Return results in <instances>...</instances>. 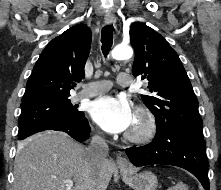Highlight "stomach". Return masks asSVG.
<instances>
[{
    "label": "stomach",
    "instance_id": "0dacf381",
    "mask_svg": "<svg viewBox=\"0 0 221 190\" xmlns=\"http://www.w3.org/2000/svg\"><path fill=\"white\" fill-rule=\"evenodd\" d=\"M121 175L133 190H156L158 186L157 177L151 171L135 173L121 169Z\"/></svg>",
    "mask_w": 221,
    "mask_h": 190
}]
</instances>
